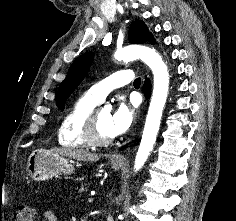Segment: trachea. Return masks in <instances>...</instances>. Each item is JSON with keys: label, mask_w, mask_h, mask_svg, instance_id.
Returning a JSON list of instances; mask_svg holds the SVG:
<instances>
[{"label": "trachea", "mask_w": 236, "mask_h": 221, "mask_svg": "<svg viewBox=\"0 0 236 221\" xmlns=\"http://www.w3.org/2000/svg\"><path fill=\"white\" fill-rule=\"evenodd\" d=\"M140 84H141V78H136V79L134 80V85H135V86H140Z\"/></svg>", "instance_id": "1"}]
</instances>
